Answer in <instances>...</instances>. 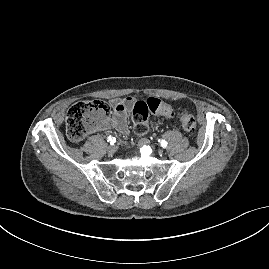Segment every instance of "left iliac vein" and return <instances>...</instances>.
Masks as SVG:
<instances>
[{
	"label": "left iliac vein",
	"mask_w": 269,
	"mask_h": 269,
	"mask_svg": "<svg viewBox=\"0 0 269 269\" xmlns=\"http://www.w3.org/2000/svg\"><path fill=\"white\" fill-rule=\"evenodd\" d=\"M150 141L148 139L142 138L139 140L138 144L139 146H143V145H149Z\"/></svg>",
	"instance_id": "obj_1"
}]
</instances>
